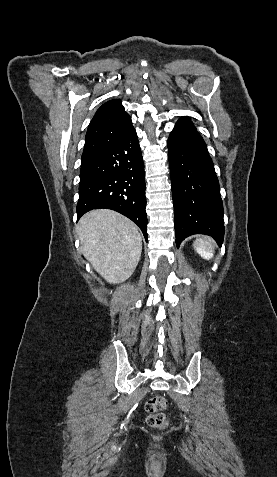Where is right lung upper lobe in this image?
<instances>
[{
	"label": "right lung upper lobe",
	"instance_id": "obj_1",
	"mask_svg": "<svg viewBox=\"0 0 277 477\" xmlns=\"http://www.w3.org/2000/svg\"><path fill=\"white\" fill-rule=\"evenodd\" d=\"M132 128L131 117L120 99L104 103L89 124L82 158L110 147L126 136Z\"/></svg>",
	"mask_w": 277,
	"mask_h": 477
}]
</instances>
